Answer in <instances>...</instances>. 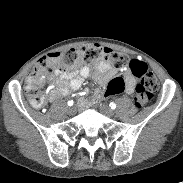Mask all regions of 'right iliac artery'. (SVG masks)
<instances>
[{"instance_id": "obj_1", "label": "right iliac artery", "mask_w": 183, "mask_h": 183, "mask_svg": "<svg viewBox=\"0 0 183 183\" xmlns=\"http://www.w3.org/2000/svg\"><path fill=\"white\" fill-rule=\"evenodd\" d=\"M68 105H69V106H72V105H73V101H72V100H69V101H68Z\"/></svg>"}]
</instances>
